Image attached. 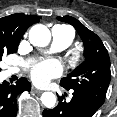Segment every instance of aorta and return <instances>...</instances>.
<instances>
[{
	"label": "aorta",
	"mask_w": 117,
	"mask_h": 117,
	"mask_svg": "<svg viewBox=\"0 0 117 117\" xmlns=\"http://www.w3.org/2000/svg\"><path fill=\"white\" fill-rule=\"evenodd\" d=\"M29 41L34 46H47L51 41L50 30L43 24L34 25L29 31ZM40 100L45 107L52 108L56 104L57 98L52 92H44Z\"/></svg>",
	"instance_id": "762f6f07"
}]
</instances>
